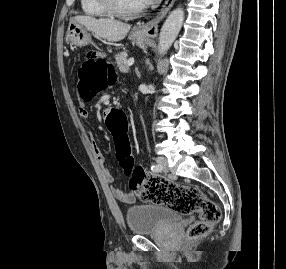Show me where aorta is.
Masks as SVG:
<instances>
[{
	"mask_svg": "<svg viewBox=\"0 0 286 269\" xmlns=\"http://www.w3.org/2000/svg\"><path fill=\"white\" fill-rule=\"evenodd\" d=\"M183 21L184 10L182 8L179 7L169 14L161 28L159 35L158 53L160 55H165L167 53L179 34Z\"/></svg>",
	"mask_w": 286,
	"mask_h": 269,
	"instance_id": "762f6f07",
	"label": "aorta"
}]
</instances>
